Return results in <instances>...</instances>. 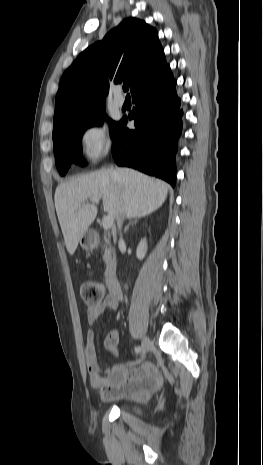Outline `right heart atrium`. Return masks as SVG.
Returning a JSON list of instances; mask_svg holds the SVG:
<instances>
[{
	"mask_svg": "<svg viewBox=\"0 0 263 465\" xmlns=\"http://www.w3.org/2000/svg\"><path fill=\"white\" fill-rule=\"evenodd\" d=\"M79 146L88 160H97L104 156L112 146V139L106 123L101 119L88 122L79 135Z\"/></svg>",
	"mask_w": 263,
	"mask_h": 465,
	"instance_id": "1",
	"label": "right heart atrium"
}]
</instances>
